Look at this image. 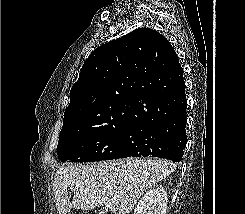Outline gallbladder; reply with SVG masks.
I'll list each match as a JSON object with an SVG mask.
<instances>
[{
  "label": "gallbladder",
  "instance_id": "obj_1",
  "mask_svg": "<svg viewBox=\"0 0 245 214\" xmlns=\"http://www.w3.org/2000/svg\"><path fill=\"white\" fill-rule=\"evenodd\" d=\"M108 208L107 207H102L99 211L98 214H107Z\"/></svg>",
  "mask_w": 245,
  "mask_h": 214
}]
</instances>
